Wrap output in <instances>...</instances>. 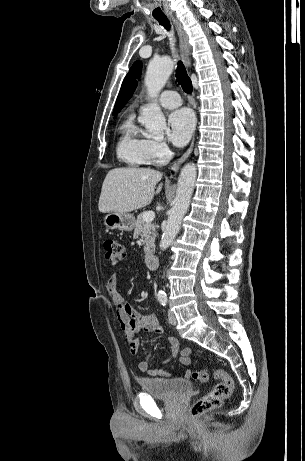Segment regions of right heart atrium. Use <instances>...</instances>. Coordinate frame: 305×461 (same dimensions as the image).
<instances>
[{
  "instance_id": "1",
  "label": "right heart atrium",
  "mask_w": 305,
  "mask_h": 461,
  "mask_svg": "<svg viewBox=\"0 0 305 461\" xmlns=\"http://www.w3.org/2000/svg\"><path fill=\"white\" fill-rule=\"evenodd\" d=\"M151 151H152L153 160L156 163H161L167 157L169 153V148L167 144L163 141H152Z\"/></svg>"
}]
</instances>
